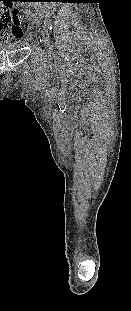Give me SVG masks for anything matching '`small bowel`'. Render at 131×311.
Returning <instances> with one entry per match:
<instances>
[{
	"label": "small bowel",
	"mask_w": 131,
	"mask_h": 311,
	"mask_svg": "<svg viewBox=\"0 0 131 311\" xmlns=\"http://www.w3.org/2000/svg\"><path fill=\"white\" fill-rule=\"evenodd\" d=\"M44 15H45V13H35V14H33V18L38 20L41 17H43ZM10 35H12L11 40L20 39L23 42H28V41L32 40V38H33V35H31V34H27L24 36V33L22 32L21 29H19V31H17L16 29H7V30H3L0 32V43L8 41L10 38Z\"/></svg>",
	"instance_id": "small-bowel-1"
}]
</instances>
